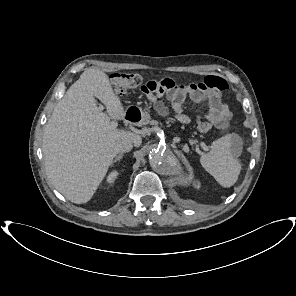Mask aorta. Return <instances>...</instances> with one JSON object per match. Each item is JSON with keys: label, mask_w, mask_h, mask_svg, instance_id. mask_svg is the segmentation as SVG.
<instances>
[{"label": "aorta", "mask_w": 296, "mask_h": 296, "mask_svg": "<svg viewBox=\"0 0 296 296\" xmlns=\"http://www.w3.org/2000/svg\"><path fill=\"white\" fill-rule=\"evenodd\" d=\"M151 166L161 173H170L178 170L176 155L165 147H157L149 152Z\"/></svg>", "instance_id": "1"}]
</instances>
